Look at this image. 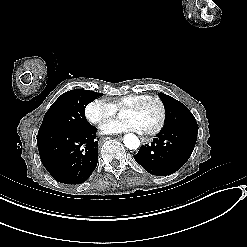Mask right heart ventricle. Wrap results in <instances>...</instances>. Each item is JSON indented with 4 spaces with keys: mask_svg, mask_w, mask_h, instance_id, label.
Listing matches in <instances>:
<instances>
[{
    "mask_svg": "<svg viewBox=\"0 0 247 247\" xmlns=\"http://www.w3.org/2000/svg\"><path fill=\"white\" fill-rule=\"evenodd\" d=\"M143 96V94H132V95H128V96H123V97H119L114 99L113 101V106L115 108H119V107H124V106H128L130 105L135 99L139 98ZM141 132H143V130H141Z\"/></svg>",
    "mask_w": 247,
    "mask_h": 247,
    "instance_id": "e07e8e85",
    "label": "right heart ventricle"
}]
</instances>
